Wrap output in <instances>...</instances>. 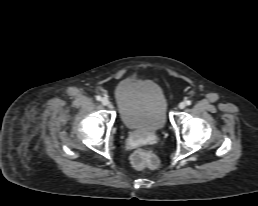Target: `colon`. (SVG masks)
<instances>
[{"instance_id":"obj_1","label":"colon","mask_w":258,"mask_h":206,"mask_svg":"<svg viewBox=\"0 0 258 206\" xmlns=\"http://www.w3.org/2000/svg\"><path fill=\"white\" fill-rule=\"evenodd\" d=\"M132 163L137 168H152L157 165L158 159L152 150L140 148L134 152Z\"/></svg>"}]
</instances>
